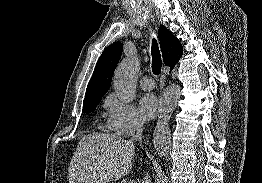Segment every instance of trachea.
I'll return each instance as SVG.
<instances>
[{
	"label": "trachea",
	"mask_w": 262,
	"mask_h": 183,
	"mask_svg": "<svg viewBox=\"0 0 262 183\" xmlns=\"http://www.w3.org/2000/svg\"><path fill=\"white\" fill-rule=\"evenodd\" d=\"M151 54H152V71L155 75H159L161 73L162 60H161V54L158 47V43L155 38H153L152 40Z\"/></svg>",
	"instance_id": "1"
}]
</instances>
